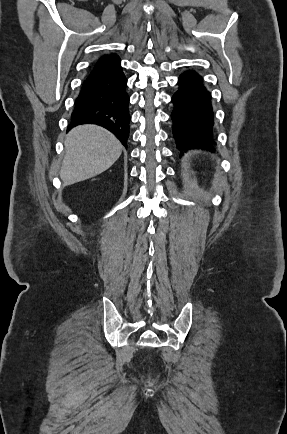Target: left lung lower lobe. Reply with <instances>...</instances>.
Listing matches in <instances>:
<instances>
[{"mask_svg":"<svg viewBox=\"0 0 287 434\" xmlns=\"http://www.w3.org/2000/svg\"><path fill=\"white\" fill-rule=\"evenodd\" d=\"M179 89L173 95V138L181 152L191 149H213L214 141L211 95L203 80L194 71H186L178 80Z\"/></svg>","mask_w":287,"mask_h":434,"instance_id":"left-lung-lower-lobe-1","label":"left lung lower lobe"}]
</instances>
